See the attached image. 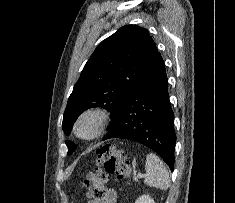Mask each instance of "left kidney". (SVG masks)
I'll use <instances>...</instances> for the list:
<instances>
[{
  "label": "left kidney",
  "instance_id": "5707ae66",
  "mask_svg": "<svg viewBox=\"0 0 235 203\" xmlns=\"http://www.w3.org/2000/svg\"><path fill=\"white\" fill-rule=\"evenodd\" d=\"M135 203H155V202L149 195H142L135 201Z\"/></svg>",
  "mask_w": 235,
  "mask_h": 203
}]
</instances>
